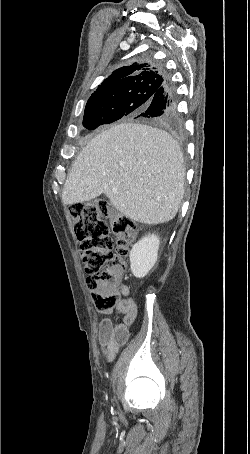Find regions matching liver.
<instances>
[{"instance_id": "6515ba94", "label": "liver", "mask_w": 250, "mask_h": 454, "mask_svg": "<svg viewBox=\"0 0 250 454\" xmlns=\"http://www.w3.org/2000/svg\"><path fill=\"white\" fill-rule=\"evenodd\" d=\"M184 181L183 156L169 133L122 123L82 149L65 181L62 201L83 203L104 193L131 220L161 224L176 216Z\"/></svg>"}]
</instances>
